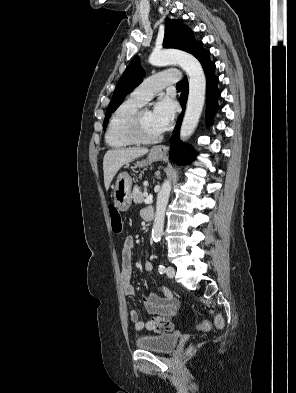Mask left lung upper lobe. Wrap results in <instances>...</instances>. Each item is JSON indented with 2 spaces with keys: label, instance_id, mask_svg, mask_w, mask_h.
Listing matches in <instances>:
<instances>
[{
  "label": "left lung upper lobe",
  "instance_id": "1",
  "mask_svg": "<svg viewBox=\"0 0 296 393\" xmlns=\"http://www.w3.org/2000/svg\"><path fill=\"white\" fill-rule=\"evenodd\" d=\"M164 47L181 49L191 53L198 60L209 52L202 48V42H198L193 38L192 31L186 25H183L181 20H166ZM143 76L144 70L140 65L138 56H136L130 62L129 66L118 81L111 102L106 111L103 124L104 130L111 113L119 107L124 100V97L142 82Z\"/></svg>",
  "mask_w": 296,
  "mask_h": 393
}]
</instances>
